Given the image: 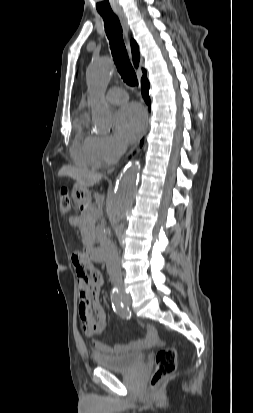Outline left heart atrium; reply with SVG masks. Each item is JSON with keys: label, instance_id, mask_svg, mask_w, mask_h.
<instances>
[{"label": "left heart atrium", "instance_id": "1", "mask_svg": "<svg viewBox=\"0 0 253 413\" xmlns=\"http://www.w3.org/2000/svg\"><path fill=\"white\" fill-rule=\"evenodd\" d=\"M146 123L145 112L138 104H128L116 114V136L124 144L136 141Z\"/></svg>", "mask_w": 253, "mask_h": 413}]
</instances>
